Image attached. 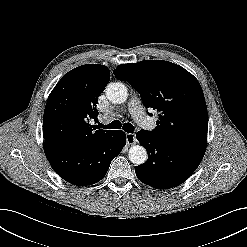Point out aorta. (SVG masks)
Instances as JSON below:
<instances>
[{"mask_svg":"<svg viewBox=\"0 0 247 247\" xmlns=\"http://www.w3.org/2000/svg\"><path fill=\"white\" fill-rule=\"evenodd\" d=\"M105 93L109 101L115 104L124 103L128 98L127 88L120 82L109 83L105 89ZM128 155L129 160L136 165H141L147 160V151L141 145L131 146Z\"/></svg>","mask_w":247,"mask_h":247,"instance_id":"aorta-1","label":"aorta"}]
</instances>
